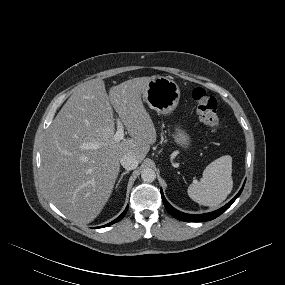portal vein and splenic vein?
I'll return each mask as SVG.
<instances>
[{"instance_id":"18ae733b","label":"portal vein and splenic vein","mask_w":285,"mask_h":285,"mask_svg":"<svg viewBox=\"0 0 285 285\" xmlns=\"http://www.w3.org/2000/svg\"><path fill=\"white\" fill-rule=\"evenodd\" d=\"M116 123H117V131L114 134V140L116 142L121 141L124 138V126L122 124V121L120 120V118L116 119ZM99 146L97 144H87L85 146V148H98Z\"/></svg>"}]
</instances>
